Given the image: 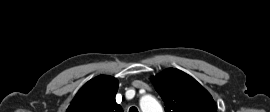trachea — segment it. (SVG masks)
Returning <instances> with one entry per match:
<instances>
[{
    "label": "trachea",
    "mask_w": 270,
    "mask_h": 112,
    "mask_svg": "<svg viewBox=\"0 0 270 112\" xmlns=\"http://www.w3.org/2000/svg\"><path fill=\"white\" fill-rule=\"evenodd\" d=\"M129 112H138V109L133 106L129 109Z\"/></svg>",
    "instance_id": "obj_1"
}]
</instances>
